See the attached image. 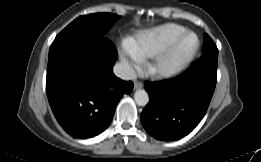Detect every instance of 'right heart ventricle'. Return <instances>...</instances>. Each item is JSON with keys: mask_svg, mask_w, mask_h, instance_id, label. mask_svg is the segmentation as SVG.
<instances>
[{"mask_svg": "<svg viewBox=\"0 0 261 162\" xmlns=\"http://www.w3.org/2000/svg\"><path fill=\"white\" fill-rule=\"evenodd\" d=\"M185 31V27L179 24H163L135 35L128 48L141 59L153 57Z\"/></svg>", "mask_w": 261, "mask_h": 162, "instance_id": "obj_1", "label": "right heart ventricle"}]
</instances>
